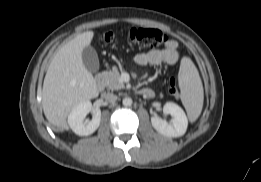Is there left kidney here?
I'll return each mask as SVG.
<instances>
[{
    "mask_svg": "<svg viewBox=\"0 0 261 182\" xmlns=\"http://www.w3.org/2000/svg\"><path fill=\"white\" fill-rule=\"evenodd\" d=\"M165 114H170V122L159 116L151 117L153 128L162 135L168 137H180L185 134L188 126V119L183 109L173 102H167L163 107Z\"/></svg>",
    "mask_w": 261,
    "mask_h": 182,
    "instance_id": "5707ae66",
    "label": "left kidney"
}]
</instances>
